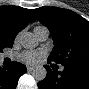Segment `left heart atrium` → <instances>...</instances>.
<instances>
[{
    "instance_id": "left-heart-atrium-1",
    "label": "left heart atrium",
    "mask_w": 89,
    "mask_h": 89,
    "mask_svg": "<svg viewBox=\"0 0 89 89\" xmlns=\"http://www.w3.org/2000/svg\"><path fill=\"white\" fill-rule=\"evenodd\" d=\"M20 58L22 61H24L27 64L35 65V64L39 63V61L41 59V54L38 52L27 51V52L22 53Z\"/></svg>"
}]
</instances>
